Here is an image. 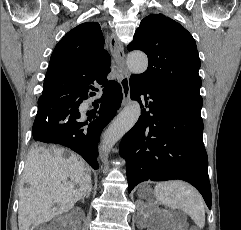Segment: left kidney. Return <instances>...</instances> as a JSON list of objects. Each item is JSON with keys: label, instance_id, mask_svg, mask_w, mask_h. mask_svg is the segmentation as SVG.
<instances>
[{"label": "left kidney", "instance_id": "left-kidney-1", "mask_svg": "<svg viewBox=\"0 0 241 230\" xmlns=\"http://www.w3.org/2000/svg\"><path fill=\"white\" fill-rule=\"evenodd\" d=\"M147 217L145 225L150 227L149 230H173V226L155 221V218H153L151 214H147Z\"/></svg>", "mask_w": 241, "mask_h": 230}]
</instances>
